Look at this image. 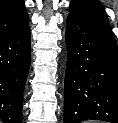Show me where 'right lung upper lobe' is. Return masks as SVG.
Segmentation results:
<instances>
[{"instance_id": "1", "label": "right lung upper lobe", "mask_w": 118, "mask_h": 123, "mask_svg": "<svg viewBox=\"0 0 118 123\" xmlns=\"http://www.w3.org/2000/svg\"><path fill=\"white\" fill-rule=\"evenodd\" d=\"M28 23L23 0H0V37L18 32Z\"/></svg>"}]
</instances>
